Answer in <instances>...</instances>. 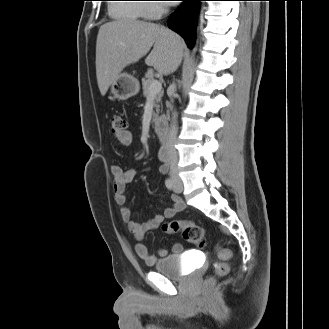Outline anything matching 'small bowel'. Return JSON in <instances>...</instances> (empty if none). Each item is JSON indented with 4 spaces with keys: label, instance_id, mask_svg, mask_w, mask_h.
<instances>
[{
    "label": "small bowel",
    "instance_id": "1",
    "mask_svg": "<svg viewBox=\"0 0 329 329\" xmlns=\"http://www.w3.org/2000/svg\"><path fill=\"white\" fill-rule=\"evenodd\" d=\"M116 138L124 146H130L133 142V136L130 131H124L123 133L116 135ZM166 170L167 165L165 162H162L159 166V171L164 173ZM111 173L113 175L112 186L114 199L116 204L120 207L121 218L128 224L130 232L139 241L135 245V252L146 264L153 265L158 258L166 256L169 252L165 248H160L158 249L156 256L152 255L146 245L141 241L146 232L157 228L165 219L172 218L180 212L184 208V203L179 197L171 196L170 201L172 204L163 213L156 214L153 218L142 223L133 221L131 210L125 205L127 201L126 188L136 178L138 170L136 168L124 169L120 165H113L111 167ZM182 250L183 245L181 243L175 242L172 245V252L179 253Z\"/></svg>",
    "mask_w": 329,
    "mask_h": 329
}]
</instances>
